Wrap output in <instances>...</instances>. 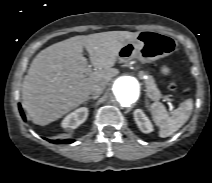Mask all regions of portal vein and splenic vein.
Masks as SVG:
<instances>
[{"mask_svg":"<svg viewBox=\"0 0 212 183\" xmlns=\"http://www.w3.org/2000/svg\"><path fill=\"white\" fill-rule=\"evenodd\" d=\"M163 99L168 104L170 111H172L174 108V105L172 104L171 100L167 96L163 97Z\"/></svg>","mask_w":212,"mask_h":183,"instance_id":"portal-vein-and-splenic-vein-1","label":"portal vein and splenic vein"}]
</instances>
